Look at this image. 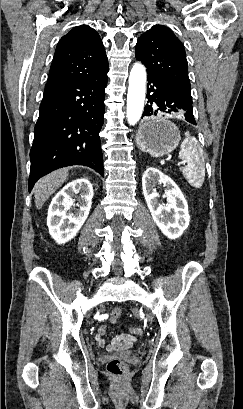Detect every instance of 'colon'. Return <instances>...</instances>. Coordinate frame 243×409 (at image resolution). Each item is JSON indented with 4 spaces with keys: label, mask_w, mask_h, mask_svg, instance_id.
<instances>
[{
    "label": "colon",
    "mask_w": 243,
    "mask_h": 409,
    "mask_svg": "<svg viewBox=\"0 0 243 409\" xmlns=\"http://www.w3.org/2000/svg\"><path fill=\"white\" fill-rule=\"evenodd\" d=\"M122 310L119 307L114 308L111 311L110 317L113 322H117L121 317ZM131 332L135 334H140L141 330L139 328H131ZM107 370L111 376L114 378H122L127 370L125 363L119 359L110 360L107 364Z\"/></svg>",
    "instance_id": "5ec220e1"
}]
</instances>
